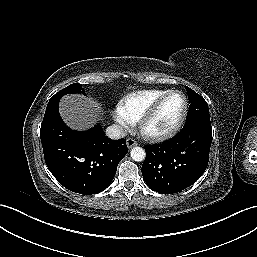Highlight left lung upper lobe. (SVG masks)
<instances>
[{
	"mask_svg": "<svg viewBox=\"0 0 257 257\" xmlns=\"http://www.w3.org/2000/svg\"><path fill=\"white\" fill-rule=\"evenodd\" d=\"M186 90L190 105L184 127L193 124L211 126L209 108L204 98L187 86Z\"/></svg>",
	"mask_w": 257,
	"mask_h": 257,
	"instance_id": "5c2ea615",
	"label": "left lung upper lobe"
}]
</instances>
